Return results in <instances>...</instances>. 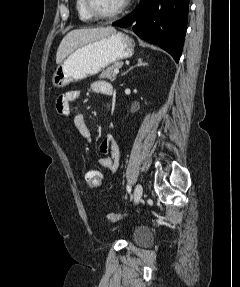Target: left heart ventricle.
<instances>
[{
    "instance_id": "obj_1",
    "label": "left heart ventricle",
    "mask_w": 240,
    "mask_h": 287,
    "mask_svg": "<svg viewBox=\"0 0 240 287\" xmlns=\"http://www.w3.org/2000/svg\"><path fill=\"white\" fill-rule=\"evenodd\" d=\"M96 7L104 13L115 10L123 0H94Z\"/></svg>"
}]
</instances>
